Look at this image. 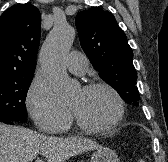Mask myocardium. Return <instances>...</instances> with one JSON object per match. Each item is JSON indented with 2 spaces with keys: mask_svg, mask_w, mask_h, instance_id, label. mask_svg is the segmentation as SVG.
Here are the masks:
<instances>
[{
  "mask_svg": "<svg viewBox=\"0 0 168 162\" xmlns=\"http://www.w3.org/2000/svg\"><path fill=\"white\" fill-rule=\"evenodd\" d=\"M102 89L111 94L113 97L115 103H116V114L113 117L112 120H110L108 123L103 124V125H90L84 122L75 112L72 108H70L71 115L77 124V126L87 132H92V133H98V132H105L109 131L113 128H115L123 119L124 117V101L120 94L117 92L115 88L110 86L109 84L102 83V82H95V83H90L85 85L82 90L85 92H90L94 90Z\"/></svg>",
  "mask_w": 168,
  "mask_h": 162,
  "instance_id": "1",
  "label": "myocardium"
}]
</instances>
